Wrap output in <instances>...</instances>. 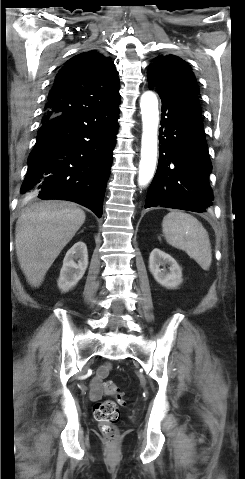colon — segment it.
<instances>
[{
    "instance_id": "obj_1",
    "label": "colon",
    "mask_w": 245,
    "mask_h": 479,
    "mask_svg": "<svg viewBox=\"0 0 245 479\" xmlns=\"http://www.w3.org/2000/svg\"><path fill=\"white\" fill-rule=\"evenodd\" d=\"M104 392L108 395H115L116 401L106 400L98 403L94 408V418L99 423L103 435L109 440H113L118 434L116 427L119 419L118 405L124 404L125 399L117 385L112 381L105 383Z\"/></svg>"
}]
</instances>
